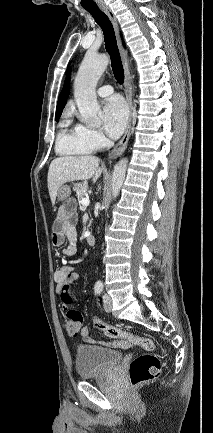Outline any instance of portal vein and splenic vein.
<instances>
[{
	"label": "portal vein and splenic vein",
	"mask_w": 213,
	"mask_h": 433,
	"mask_svg": "<svg viewBox=\"0 0 213 433\" xmlns=\"http://www.w3.org/2000/svg\"><path fill=\"white\" fill-rule=\"evenodd\" d=\"M81 204H82V206H85V207L88 206L90 204L89 198L88 197L82 198L81 199Z\"/></svg>",
	"instance_id": "obj_1"
}]
</instances>
